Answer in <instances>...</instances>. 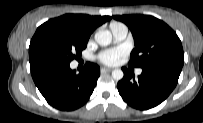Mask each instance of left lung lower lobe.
<instances>
[{
  "label": "left lung lower lobe",
  "mask_w": 203,
  "mask_h": 123,
  "mask_svg": "<svg viewBox=\"0 0 203 123\" xmlns=\"http://www.w3.org/2000/svg\"><path fill=\"white\" fill-rule=\"evenodd\" d=\"M124 77L117 84L119 94L130 106L147 110L163 102L177 85L181 69L169 66L143 67L138 79L122 68Z\"/></svg>",
  "instance_id": "obj_1"
}]
</instances>
